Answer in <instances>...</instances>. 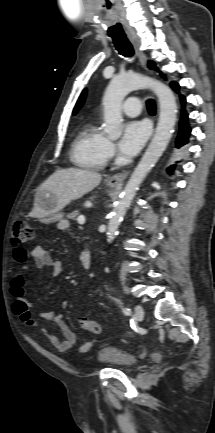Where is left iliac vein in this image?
<instances>
[{
    "mask_svg": "<svg viewBox=\"0 0 215 433\" xmlns=\"http://www.w3.org/2000/svg\"><path fill=\"white\" fill-rule=\"evenodd\" d=\"M136 318L141 321L144 317V310L140 304H137L134 308Z\"/></svg>",
    "mask_w": 215,
    "mask_h": 433,
    "instance_id": "4c4485c4",
    "label": "left iliac vein"
}]
</instances>
